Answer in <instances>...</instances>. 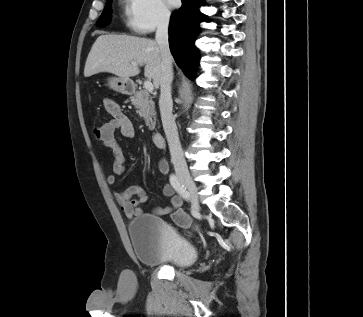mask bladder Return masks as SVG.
Returning a JSON list of instances; mask_svg holds the SVG:
<instances>
[{
    "mask_svg": "<svg viewBox=\"0 0 363 317\" xmlns=\"http://www.w3.org/2000/svg\"><path fill=\"white\" fill-rule=\"evenodd\" d=\"M138 261L144 266L168 264L184 268L198 257L196 245L163 219L138 215L127 228Z\"/></svg>",
    "mask_w": 363,
    "mask_h": 317,
    "instance_id": "obj_1",
    "label": "bladder"
}]
</instances>
